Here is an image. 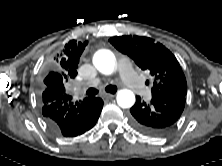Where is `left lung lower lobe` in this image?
I'll return each mask as SVG.
<instances>
[{
  "mask_svg": "<svg viewBox=\"0 0 222 166\" xmlns=\"http://www.w3.org/2000/svg\"><path fill=\"white\" fill-rule=\"evenodd\" d=\"M185 96L177 91H161L153 93L150 102L136 96V103L130 109L132 127L145 135H165L183 112Z\"/></svg>",
  "mask_w": 222,
  "mask_h": 166,
  "instance_id": "1",
  "label": "left lung lower lobe"
}]
</instances>
